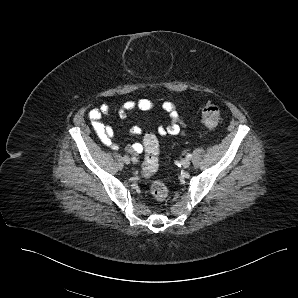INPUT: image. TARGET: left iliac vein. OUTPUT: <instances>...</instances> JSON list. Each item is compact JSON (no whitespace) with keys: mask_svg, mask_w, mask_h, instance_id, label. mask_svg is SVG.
<instances>
[{"mask_svg":"<svg viewBox=\"0 0 298 298\" xmlns=\"http://www.w3.org/2000/svg\"><path fill=\"white\" fill-rule=\"evenodd\" d=\"M181 166H182L183 168H188V167L190 166V160L187 159V158L182 159V161H181Z\"/></svg>","mask_w":298,"mask_h":298,"instance_id":"4c4485c4","label":"left iliac vein"}]
</instances>
